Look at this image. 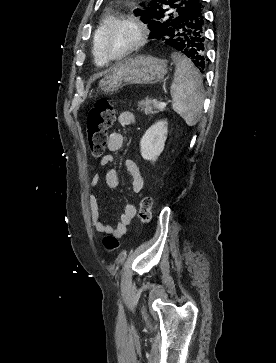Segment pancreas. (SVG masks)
<instances>
[{
	"instance_id": "1",
	"label": "pancreas",
	"mask_w": 276,
	"mask_h": 363,
	"mask_svg": "<svg viewBox=\"0 0 276 363\" xmlns=\"http://www.w3.org/2000/svg\"><path fill=\"white\" fill-rule=\"evenodd\" d=\"M140 112L145 113L146 115L156 114L159 113V111H162L158 106V102L156 100L152 99H145L138 102V108Z\"/></svg>"
}]
</instances>
